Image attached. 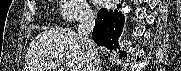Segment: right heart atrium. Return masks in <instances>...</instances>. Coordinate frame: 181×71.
Segmentation results:
<instances>
[{
  "instance_id": "1",
  "label": "right heart atrium",
  "mask_w": 181,
  "mask_h": 71,
  "mask_svg": "<svg viewBox=\"0 0 181 71\" xmlns=\"http://www.w3.org/2000/svg\"><path fill=\"white\" fill-rule=\"evenodd\" d=\"M62 16L68 21L87 20L91 12L83 0H64L62 1Z\"/></svg>"
}]
</instances>
